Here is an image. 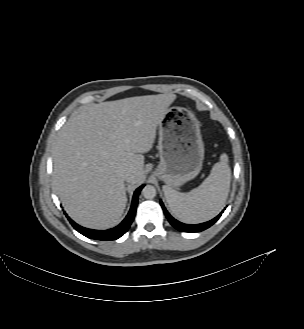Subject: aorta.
<instances>
[{"instance_id": "762f6f07", "label": "aorta", "mask_w": 304, "mask_h": 329, "mask_svg": "<svg viewBox=\"0 0 304 329\" xmlns=\"http://www.w3.org/2000/svg\"><path fill=\"white\" fill-rule=\"evenodd\" d=\"M142 195L146 198V199H153L156 196V189L154 186L152 185H146L143 189H142Z\"/></svg>"}]
</instances>
